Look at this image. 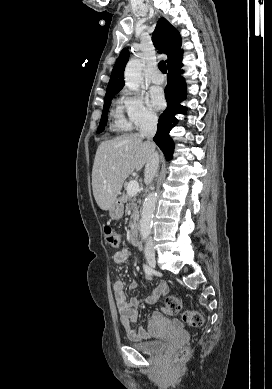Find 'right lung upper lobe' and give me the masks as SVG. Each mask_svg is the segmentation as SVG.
Listing matches in <instances>:
<instances>
[{"label": "right lung upper lobe", "mask_w": 272, "mask_h": 389, "mask_svg": "<svg viewBox=\"0 0 272 389\" xmlns=\"http://www.w3.org/2000/svg\"><path fill=\"white\" fill-rule=\"evenodd\" d=\"M152 39L159 52L168 55L166 60L168 67L181 59L183 54L181 36L165 18L158 20ZM128 58L129 51L123 49L113 67L105 97L119 92L124 86V69Z\"/></svg>", "instance_id": "1"}]
</instances>
